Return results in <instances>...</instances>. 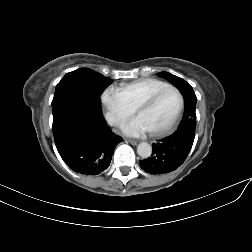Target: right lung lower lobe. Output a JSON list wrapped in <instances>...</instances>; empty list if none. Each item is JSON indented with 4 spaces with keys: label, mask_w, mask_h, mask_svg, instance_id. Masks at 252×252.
Here are the masks:
<instances>
[{
    "label": "right lung lower lobe",
    "mask_w": 252,
    "mask_h": 252,
    "mask_svg": "<svg viewBox=\"0 0 252 252\" xmlns=\"http://www.w3.org/2000/svg\"><path fill=\"white\" fill-rule=\"evenodd\" d=\"M53 134L63 161L75 172L97 175L108 168L123 139L106 125L101 113L66 105L53 110Z\"/></svg>",
    "instance_id": "98d812e1"
}]
</instances>
